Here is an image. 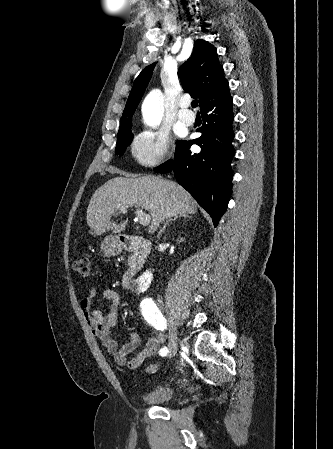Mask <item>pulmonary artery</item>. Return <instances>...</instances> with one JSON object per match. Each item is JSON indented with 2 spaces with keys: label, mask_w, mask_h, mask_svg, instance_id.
<instances>
[{
  "label": "pulmonary artery",
  "mask_w": 333,
  "mask_h": 449,
  "mask_svg": "<svg viewBox=\"0 0 333 449\" xmlns=\"http://www.w3.org/2000/svg\"><path fill=\"white\" fill-rule=\"evenodd\" d=\"M178 118L185 125H192L195 121L194 114L187 109V103L184 101L179 103Z\"/></svg>",
  "instance_id": "obj_1"
}]
</instances>
